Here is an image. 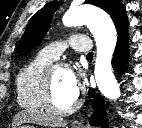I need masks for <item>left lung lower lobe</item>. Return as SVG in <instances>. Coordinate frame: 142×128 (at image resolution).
I'll return each mask as SVG.
<instances>
[{"instance_id": "left-lung-lower-lobe-1", "label": "left lung lower lobe", "mask_w": 142, "mask_h": 128, "mask_svg": "<svg viewBox=\"0 0 142 128\" xmlns=\"http://www.w3.org/2000/svg\"><path fill=\"white\" fill-rule=\"evenodd\" d=\"M127 28L128 25H125L118 30V40L112 60L113 67L116 71H123L127 63L129 53ZM94 107L96 112L92 114L90 124L94 126L101 125L102 128H105L107 124V114L104 109V99L100 95L94 98Z\"/></svg>"}]
</instances>
